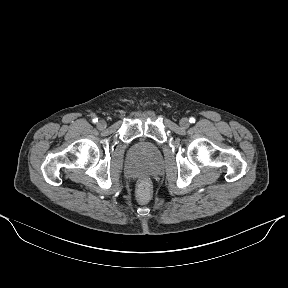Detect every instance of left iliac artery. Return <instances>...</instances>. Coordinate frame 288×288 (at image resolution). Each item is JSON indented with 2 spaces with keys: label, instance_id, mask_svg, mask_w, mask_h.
<instances>
[{
  "label": "left iliac artery",
  "instance_id": "left-iliac-artery-1",
  "mask_svg": "<svg viewBox=\"0 0 288 288\" xmlns=\"http://www.w3.org/2000/svg\"><path fill=\"white\" fill-rule=\"evenodd\" d=\"M189 122H190V123H195V118H194V117H191V118L189 119Z\"/></svg>",
  "mask_w": 288,
  "mask_h": 288
}]
</instances>
